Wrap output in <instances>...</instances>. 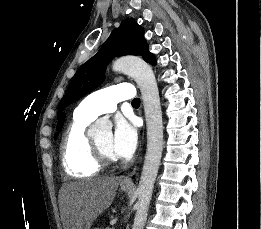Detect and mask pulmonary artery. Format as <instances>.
<instances>
[{
  "instance_id": "1",
  "label": "pulmonary artery",
  "mask_w": 261,
  "mask_h": 229,
  "mask_svg": "<svg viewBox=\"0 0 261 229\" xmlns=\"http://www.w3.org/2000/svg\"><path fill=\"white\" fill-rule=\"evenodd\" d=\"M133 97V85H115L89 94L79 107L85 117L96 119L102 114L114 112L117 102Z\"/></svg>"
}]
</instances>
